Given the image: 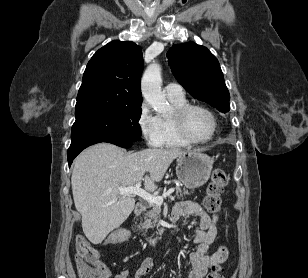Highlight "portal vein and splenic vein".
Here are the masks:
<instances>
[{
    "mask_svg": "<svg viewBox=\"0 0 308 278\" xmlns=\"http://www.w3.org/2000/svg\"><path fill=\"white\" fill-rule=\"evenodd\" d=\"M174 188H170L167 192L163 193L162 196L152 195L146 190L141 188V182L136 183L134 186L129 187H120L119 194L120 195H138L149 203H154L157 205H161L166 197H169L173 192Z\"/></svg>",
    "mask_w": 308,
    "mask_h": 278,
    "instance_id": "18ae733b",
    "label": "portal vein and splenic vein"
}]
</instances>
